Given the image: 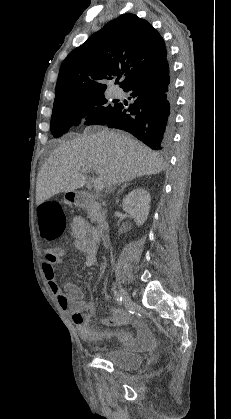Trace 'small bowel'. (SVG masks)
Wrapping results in <instances>:
<instances>
[{
  "label": "small bowel",
  "mask_w": 231,
  "mask_h": 419,
  "mask_svg": "<svg viewBox=\"0 0 231 419\" xmlns=\"http://www.w3.org/2000/svg\"><path fill=\"white\" fill-rule=\"evenodd\" d=\"M71 230L74 235V245L76 249L84 254V266L92 267L97 264L98 251V232L81 216L73 218ZM65 249L56 247L44 250L41 254L42 268L47 279L51 292L56 297L60 308L72 315V319L77 326L79 334L83 339L94 343L102 336L115 337L127 350L146 349L151 341V332L142 323L133 320L127 312L115 310L113 315L103 319L106 326H132L136 335L134 336L128 330H119L111 333L101 334L89 325V319L92 316L84 317L81 309L84 306L93 307L92 303L87 301L84 292L79 285L68 282L61 288L57 282L54 266L64 263Z\"/></svg>",
  "instance_id": "1"
}]
</instances>
